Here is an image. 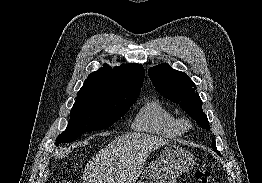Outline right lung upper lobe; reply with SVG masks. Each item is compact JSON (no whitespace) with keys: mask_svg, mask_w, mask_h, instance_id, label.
Segmentation results:
<instances>
[{"mask_svg":"<svg viewBox=\"0 0 262 183\" xmlns=\"http://www.w3.org/2000/svg\"><path fill=\"white\" fill-rule=\"evenodd\" d=\"M143 80L144 68L141 64H122L113 69L104 64L87 77L77 97L105 100L137 99Z\"/></svg>","mask_w":262,"mask_h":183,"instance_id":"cb5924a9","label":"right lung upper lobe"}]
</instances>
